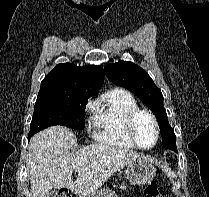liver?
I'll list each match as a JSON object with an SVG mask.
<instances>
[{"label":"liver","mask_w":209,"mask_h":197,"mask_svg":"<svg viewBox=\"0 0 209 197\" xmlns=\"http://www.w3.org/2000/svg\"><path fill=\"white\" fill-rule=\"evenodd\" d=\"M75 144L76 137L63 126H52L33 136L28 147L32 197H46L52 188H68L85 197L96 192L115 172L140 158L134 151L102 143L70 153ZM73 171L78 174L74 182Z\"/></svg>","instance_id":"obj_1"}]
</instances>
